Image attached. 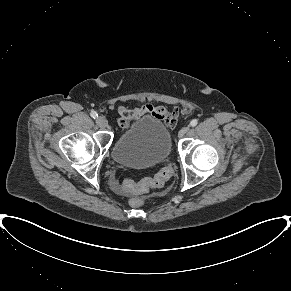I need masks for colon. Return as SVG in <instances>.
Listing matches in <instances>:
<instances>
[{"instance_id":"obj_1","label":"colon","mask_w":291,"mask_h":291,"mask_svg":"<svg viewBox=\"0 0 291 291\" xmlns=\"http://www.w3.org/2000/svg\"><path fill=\"white\" fill-rule=\"evenodd\" d=\"M173 168L171 165L163 167L158 173L152 177H147L140 182L125 180L121 186L122 190L127 193L141 194L147 192L150 188L161 187L171 177ZM130 205L139 208L144 205V201L138 197L130 199Z\"/></svg>"}]
</instances>
